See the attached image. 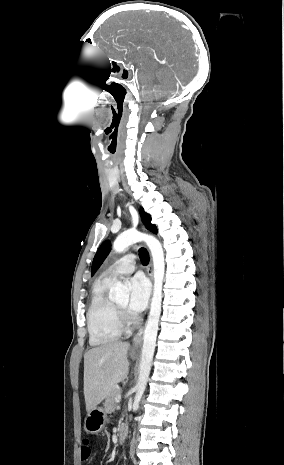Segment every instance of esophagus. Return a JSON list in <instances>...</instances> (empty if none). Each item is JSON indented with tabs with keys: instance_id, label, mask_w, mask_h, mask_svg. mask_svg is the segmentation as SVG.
Wrapping results in <instances>:
<instances>
[{
	"instance_id": "34e87169",
	"label": "esophagus",
	"mask_w": 284,
	"mask_h": 465,
	"mask_svg": "<svg viewBox=\"0 0 284 465\" xmlns=\"http://www.w3.org/2000/svg\"><path fill=\"white\" fill-rule=\"evenodd\" d=\"M147 274L149 276V278L151 279V281L153 282V266H152V258L150 257V262L147 266ZM142 334H143V327L139 328L137 330V332H135L134 336H133V340H132V343H133V348L134 349H138L141 344H142Z\"/></svg>"
}]
</instances>
